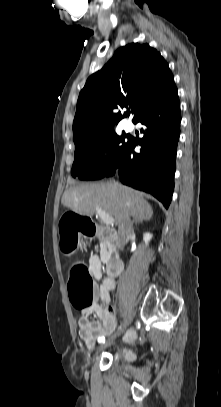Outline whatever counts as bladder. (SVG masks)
<instances>
[{
	"instance_id": "1",
	"label": "bladder",
	"mask_w": 221,
	"mask_h": 407,
	"mask_svg": "<svg viewBox=\"0 0 221 407\" xmlns=\"http://www.w3.org/2000/svg\"><path fill=\"white\" fill-rule=\"evenodd\" d=\"M120 357L122 358V360L124 361H128L130 358V351L123 349L119 351Z\"/></svg>"
}]
</instances>
